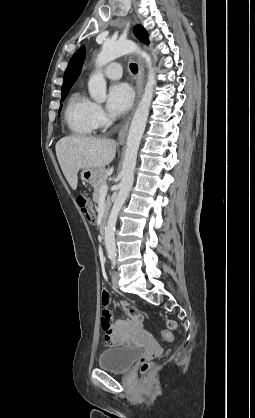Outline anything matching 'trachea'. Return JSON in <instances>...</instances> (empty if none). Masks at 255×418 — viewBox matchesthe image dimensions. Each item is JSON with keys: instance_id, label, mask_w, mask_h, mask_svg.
I'll return each instance as SVG.
<instances>
[{"instance_id": "trachea-1", "label": "trachea", "mask_w": 255, "mask_h": 418, "mask_svg": "<svg viewBox=\"0 0 255 418\" xmlns=\"http://www.w3.org/2000/svg\"><path fill=\"white\" fill-rule=\"evenodd\" d=\"M130 70L133 74H136L138 72V65L135 63L130 64Z\"/></svg>"}]
</instances>
